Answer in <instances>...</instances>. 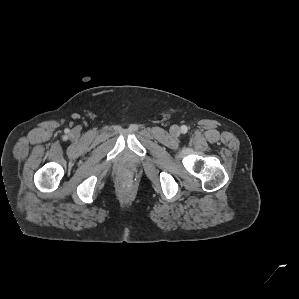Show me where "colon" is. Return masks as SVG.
I'll list each match as a JSON object with an SVG mask.
<instances>
[{
	"mask_svg": "<svg viewBox=\"0 0 299 299\" xmlns=\"http://www.w3.org/2000/svg\"><path fill=\"white\" fill-rule=\"evenodd\" d=\"M122 179H123L125 182H129V181H131V179H132V173H131L129 170H125V171L122 173Z\"/></svg>",
	"mask_w": 299,
	"mask_h": 299,
	"instance_id": "colon-1",
	"label": "colon"
}]
</instances>
